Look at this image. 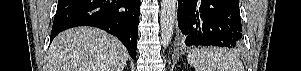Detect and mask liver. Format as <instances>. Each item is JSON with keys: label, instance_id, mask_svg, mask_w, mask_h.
<instances>
[{"label": "liver", "instance_id": "6515ba94", "mask_svg": "<svg viewBox=\"0 0 301 71\" xmlns=\"http://www.w3.org/2000/svg\"><path fill=\"white\" fill-rule=\"evenodd\" d=\"M129 54L114 36L92 27L66 30L48 51V71H123Z\"/></svg>", "mask_w": 301, "mask_h": 71}]
</instances>
